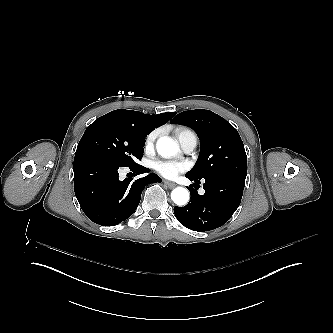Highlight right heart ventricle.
<instances>
[{
  "mask_svg": "<svg viewBox=\"0 0 333 333\" xmlns=\"http://www.w3.org/2000/svg\"><path fill=\"white\" fill-rule=\"evenodd\" d=\"M182 131H184V130H179V131H177V132H176V136H177L180 132H182Z\"/></svg>",
  "mask_w": 333,
  "mask_h": 333,
  "instance_id": "e07e8e85",
  "label": "right heart ventricle"
}]
</instances>
